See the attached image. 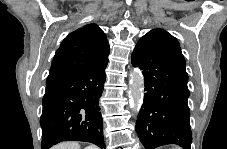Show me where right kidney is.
<instances>
[{"label":"right kidney","instance_id":"right-kidney-1","mask_svg":"<svg viewBox=\"0 0 227 149\" xmlns=\"http://www.w3.org/2000/svg\"><path fill=\"white\" fill-rule=\"evenodd\" d=\"M86 149H94L92 146L87 147Z\"/></svg>","mask_w":227,"mask_h":149}]
</instances>
